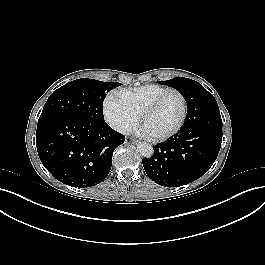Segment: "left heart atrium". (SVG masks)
Returning <instances> with one entry per match:
<instances>
[{"mask_svg":"<svg viewBox=\"0 0 265 265\" xmlns=\"http://www.w3.org/2000/svg\"><path fill=\"white\" fill-rule=\"evenodd\" d=\"M136 132L145 137H149L151 135L144 127L139 128Z\"/></svg>","mask_w":265,"mask_h":265,"instance_id":"obj_1","label":"left heart atrium"}]
</instances>
